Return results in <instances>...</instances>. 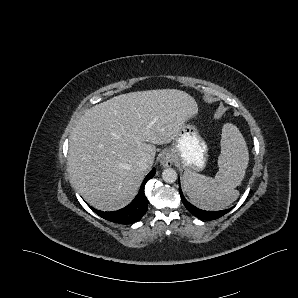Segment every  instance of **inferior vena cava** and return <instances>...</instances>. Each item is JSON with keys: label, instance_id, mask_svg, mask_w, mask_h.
I'll list each match as a JSON object with an SVG mask.
<instances>
[{"label": "inferior vena cava", "instance_id": "inferior-vena-cava-1", "mask_svg": "<svg viewBox=\"0 0 298 298\" xmlns=\"http://www.w3.org/2000/svg\"><path fill=\"white\" fill-rule=\"evenodd\" d=\"M137 165L142 170H147V169H149L151 167V164L149 163L147 157H142L141 159H139Z\"/></svg>", "mask_w": 298, "mask_h": 298}]
</instances>
